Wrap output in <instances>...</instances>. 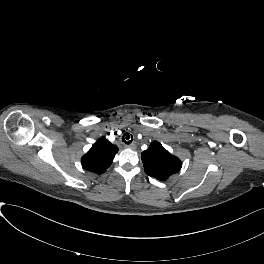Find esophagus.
I'll return each instance as SVG.
<instances>
[{
  "mask_svg": "<svg viewBox=\"0 0 264 264\" xmlns=\"http://www.w3.org/2000/svg\"><path fill=\"white\" fill-rule=\"evenodd\" d=\"M125 147L130 148V149H135L136 145L134 143H131V144L125 145Z\"/></svg>",
  "mask_w": 264,
  "mask_h": 264,
  "instance_id": "esophagus-1",
  "label": "esophagus"
}]
</instances>
